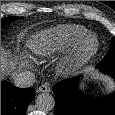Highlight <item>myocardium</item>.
Segmentation results:
<instances>
[{
	"label": "myocardium",
	"mask_w": 115,
	"mask_h": 115,
	"mask_svg": "<svg viewBox=\"0 0 115 115\" xmlns=\"http://www.w3.org/2000/svg\"><path fill=\"white\" fill-rule=\"evenodd\" d=\"M92 42L91 45L89 43ZM99 50V40L95 34L87 33L71 47L65 68L72 69L89 61Z\"/></svg>",
	"instance_id": "1"
}]
</instances>
